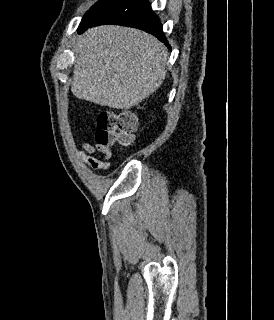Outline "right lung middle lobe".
<instances>
[{"label":"right lung middle lobe","mask_w":274,"mask_h":320,"mask_svg":"<svg viewBox=\"0 0 274 320\" xmlns=\"http://www.w3.org/2000/svg\"><path fill=\"white\" fill-rule=\"evenodd\" d=\"M123 1L124 0H99L86 12L80 23L79 28L96 21L102 15L111 11L116 6L121 4Z\"/></svg>","instance_id":"right-lung-middle-lobe-1"}]
</instances>
